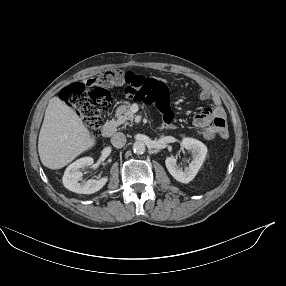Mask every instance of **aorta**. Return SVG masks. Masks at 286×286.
Instances as JSON below:
<instances>
[{"instance_id":"1","label":"aorta","mask_w":286,"mask_h":286,"mask_svg":"<svg viewBox=\"0 0 286 286\" xmlns=\"http://www.w3.org/2000/svg\"><path fill=\"white\" fill-rule=\"evenodd\" d=\"M145 144L141 141H136L133 144V151L136 154H143L145 152Z\"/></svg>"}]
</instances>
